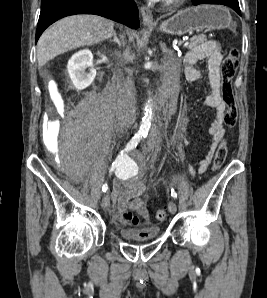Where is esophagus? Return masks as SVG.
Here are the masks:
<instances>
[{"label": "esophagus", "instance_id": "1", "mask_svg": "<svg viewBox=\"0 0 267 298\" xmlns=\"http://www.w3.org/2000/svg\"><path fill=\"white\" fill-rule=\"evenodd\" d=\"M140 13L142 15L143 24L146 26H152L155 24L153 14L145 6L140 7Z\"/></svg>", "mask_w": 267, "mask_h": 298}]
</instances>
